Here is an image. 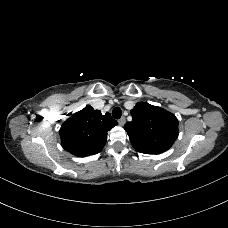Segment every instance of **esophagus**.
Wrapping results in <instances>:
<instances>
[{
    "label": "esophagus",
    "instance_id": "34e87169",
    "mask_svg": "<svg viewBox=\"0 0 228 228\" xmlns=\"http://www.w3.org/2000/svg\"><path fill=\"white\" fill-rule=\"evenodd\" d=\"M118 123H119V125L123 126V125L126 123V118H125V117H121V118L118 120Z\"/></svg>",
    "mask_w": 228,
    "mask_h": 228
}]
</instances>
